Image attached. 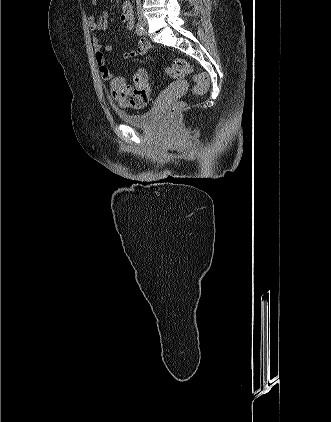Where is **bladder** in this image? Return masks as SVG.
Returning <instances> with one entry per match:
<instances>
[{"label": "bladder", "instance_id": "31cf9c89", "mask_svg": "<svg viewBox=\"0 0 331 422\" xmlns=\"http://www.w3.org/2000/svg\"><path fill=\"white\" fill-rule=\"evenodd\" d=\"M120 119L127 125L150 129L153 128L158 119L159 105L155 103L150 109L140 113H127L117 111Z\"/></svg>", "mask_w": 331, "mask_h": 422}]
</instances>
